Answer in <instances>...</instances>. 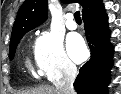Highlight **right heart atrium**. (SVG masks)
<instances>
[{
	"label": "right heart atrium",
	"mask_w": 121,
	"mask_h": 94,
	"mask_svg": "<svg viewBox=\"0 0 121 94\" xmlns=\"http://www.w3.org/2000/svg\"><path fill=\"white\" fill-rule=\"evenodd\" d=\"M37 70L50 80L70 78L77 68L64 50L62 38L53 31L41 32L33 48Z\"/></svg>",
	"instance_id": "right-heart-atrium-1"
}]
</instances>
